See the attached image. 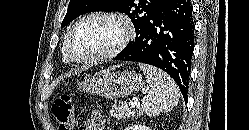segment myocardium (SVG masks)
Returning a JSON list of instances; mask_svg holds the SVG:
<instances>
[{
  "mask_svg": "<svg viewBox=\"0 0 249 130\" xmlns=\"http://www.w3.org/2000/svg\"><path fill=\"white\" fill-rule=\"evenodd\" d=\"M93 18H109L119 21L124 29L120 41L109 51L86 58H79L72 54L70 44L77 28L85 21ZM135 36V27L130 18L122 13L113 11H93L79 18L69 30L64 43V52L68 60L80 64L96 63L116 57L120 54Z\"/></svg>",
  "mask_w": 249,
  "mask_h": 130,
  "instance_id": "f54148a6",
  "label": "myocardium"
}]
</instances>
